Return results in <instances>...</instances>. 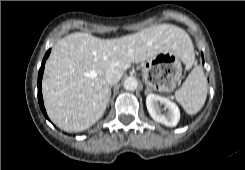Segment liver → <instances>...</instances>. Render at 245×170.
<instances>
[{"mask_svg":"<svg viewBox=\"0 0 245 170\" xmlns=\"http://www.w3.org/2000/svg\"><path fill=\"white\" fill-rule=\"evenodd\" d=\"M176 51L190 66L193 46L187 33L160 24L115 39L77 32L59 40L45 65L42 92L49 118L65 131L94 125L109 102L105 73H124L131 63H143L162 52Z\"/></svg>","mask_w":245,"mask_h":170,"instance_id":"6515ba94","label":"liver"}]
</instances>
